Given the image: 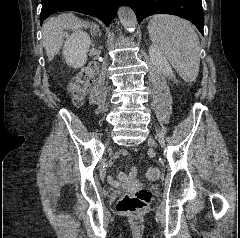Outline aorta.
Segmentation results:
<instances>
[{"instance_id":"1","label":"aorta","mask_w":240,"mask_h":238,"mask_svg":"<svg viewBox=\"0 0 240 238\" xmlns=\"http://www.w3.org/2000/svg\"><path fill=\"white\" fill-rule=\"evenodd\" d=\"M118 17L125 30L128 32L135 31L137 26V19L132 9L124 6L120 7L118 10Z\"/></svg>"}]
</instances>
